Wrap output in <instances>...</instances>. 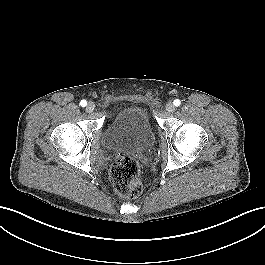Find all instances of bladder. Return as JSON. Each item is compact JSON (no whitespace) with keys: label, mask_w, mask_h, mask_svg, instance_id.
Here are the masks:
<instances>
[{"label":"bladder","mask_w":265,"mask_h":265,"mask_svg":"<svg viewBox=\"0 0 265 265\" xmlns=\"http://www.w3.org/2000/svg\"><path fill=\"white\" fill-rule=\"evenodd\" d=\"M155 140L147 108L140 104L121 107L105 127L104 144L112 150L145 151Z\"/></svg>","instance_id":"31cf9c89"}]
</instances>
